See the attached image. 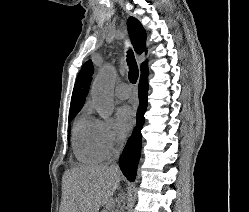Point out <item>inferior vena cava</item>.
<instances>
[{"label": "inferior vena cava", "mask_w": 249, "mask_h": 212, "mask_svg": "<svg viewBox=\"0 0 249 212\" xmlns=\"http://www.w3.org/2000/svg\"><path fill=\"white\" fill-rule=\"evenodd\" d=\"M123 142H124V138H119L118 140V144H119V148H116V150H114L113 154H114V158H119V154H120V150L123 146ZM113 168H118L117 164H112Z\"/></svg>", "instance_id": "obj_1"}]
</instances>
